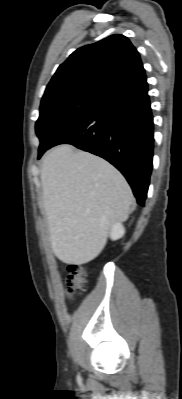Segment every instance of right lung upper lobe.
<instances>
[{
	"label": "right lung upper lobe",
	"instance_id": "1",
	"mask_svg": "<svg viewBox=\"0 0 182 399\" xmlns=\"http://www.w3.org/2000/svg\"><path fill=\"white\" fill-rule=\"evenodd\" d=\"M147 82L136 48L123 35H111L73 52L47 85L42 101L91 94L103 98Z\"/></svg>",
	"mask_w": 182,
	"mask_h": 399
}]
</instances>
